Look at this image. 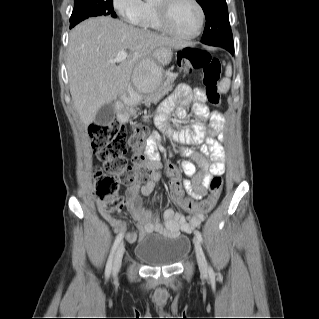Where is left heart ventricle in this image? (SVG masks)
<instances>
[{"mask_svg":"<svg viewBox=\"0 0 319 319\" xmlns=\"http://www.w3.org/2000/svg\"><path fill=\"white\" fill-rule=\"evenodd\" d=\"M199 21V14L190 0H176L170 10L169 22L172 28L182 35L195 32Z\"/></svg>","mask_w":319,"mask_h":319,"instance_id":"b2bd125f","label":"left heart ventricle"}]
</instances>
